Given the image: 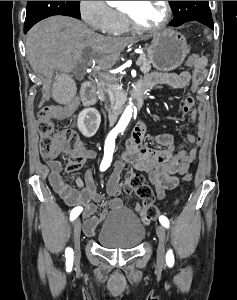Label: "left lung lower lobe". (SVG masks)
Returning <instances> with one entry per match:
<instances>
[{
	"instance_id": "1",
	"label": "left lung lower lobe",
	"mask_w": 237,
	"mask_h": 300,
	"mask_svg": "<svg viewBox=\"0 0 237 300\" xmlns=\"http://www.w3.org/2000/svg\"><path fill=\"white\" fill-rule=\"evenodd\" d=\"M208 27L211 28V29H213V23H212V24H209Z\"/></svg>"
}]
</instances>
